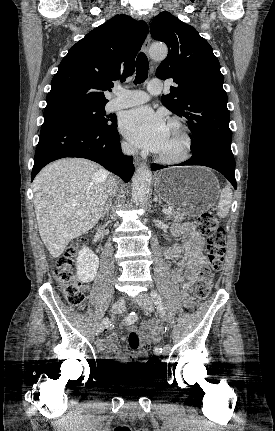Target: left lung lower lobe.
Returning a JSON list of instances; mask_svg holds the SVG:
<instances>
[{
    "label": "left lung lower lobe",
    "mask_w": 275,
    "mask_h": 431,
    "mask_svg": "<svg viewBox=\"0 0 275 431\" xmlns=\"http://www.w3.org/2000/svg\"><path fill=\"white\" fill-rule=\"evenodd\" d=\"M184 165H202L216 169L222 173L236 189L235 179V159L231 151L230 143H209L193 149L192 157L178 164ZM166 166L152 164L153 170H158Z\"/></svg>",
    "instance_id": "left-lung-lower-lobe-1"
}]
</instances>
